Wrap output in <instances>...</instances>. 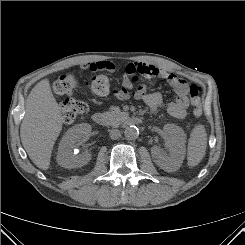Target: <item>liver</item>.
<instances>
[{
    "label": "liver",
    "instance_id": "liver-1",
    "mask_svg": "<svg viewBox=\"0 0 245 245\" xmlns=\"http://www.w3.org/2000/svg\"><path fill=\"white\" fill-rule=\"evenodd\" d=\"M61 108L52 94L49 80L43 79L29 93L20 127L21 142L32 162L47 170L62 126Z\"/></svg>",
    "mask_w": 245,
    "mask_h": 245
}]
</instances>
